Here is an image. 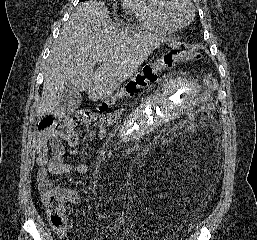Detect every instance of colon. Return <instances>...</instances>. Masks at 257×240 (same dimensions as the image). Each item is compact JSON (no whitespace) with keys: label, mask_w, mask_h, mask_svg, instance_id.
Instances as JSON below:
<instances>
[{"label":"colon","mask_w":257,"mask_h":240,"mask_svg":"<svg viewBox=\"0 0 257 240\" xmlns=\"http://www.w3.org/2000/svg\"><path fill=\"white\" fill-rule=\"evenodd\" d=\"M197 51H168L159 57L156 61L145 65L138 73L130 78L124 84L123 88L109 99L101 103V108L112 104L115 100L123 96H131L148 84L157 80L158 75L181 61L197 59ZM218 88V81L213 76H207L205 79V89L213 92ZM80 117L84 121H95L98 117L87 109L80 111ZM62 125L55 122L51 117L43 118L39 123L40 131H58ZM42 201L45 206L50 224L54 228H64L65 221V198L59 191H48L42 194Z\"/></svg>","instance_id":"5ec220e1"}]
</instances>
